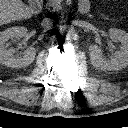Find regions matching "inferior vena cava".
<instances>
[{
    "label": "inferior vena cava",
    "instance_id": "inferior-vena-cava-1",
    "mask_svg": "<svg viewBox=\"0 0 128 128\" xmlns=\"http://www.w3.org/2000/svg\"><path fill=\"white\" fill-rule=\"evenodd\" d=\"M51 24H52V20L49 19V18H44V19L42 20V26H44V27H48V26H50Z\"/></svg>",
    "mask_w": 128,
    "mask_h": 128
}]
</instances>
